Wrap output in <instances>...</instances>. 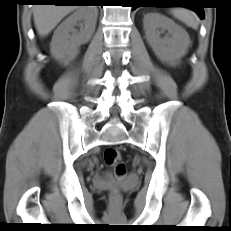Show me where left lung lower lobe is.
I'll return each mask as SVG.
<instances>
[{
  "mask_svg": "<svg viewBox=\"0 0 231 231\" xmlns=\"http://www.w3.org/2000/svg\"><path fill=\"white\" fill-rule=\"evenodd\" d=\"M160 1L161 0H133L134 5L132 6V9L134 10L137 7H154L157 6L156 4H158V2ZM184 3L191 4L192 6H185V7H188L194 10L195 12H197L201 19L204 18L203 8L195 6L197 5V2H184Z\"/></svg>",
  "mask_w": 231,
  "mask_h": 231,
  "instance_id": "obj_1",
  "label": "left lung lower lobe"
}]
</instances>
